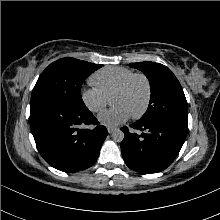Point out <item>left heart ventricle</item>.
I'll return each mask as SVG.
<instances>
[{"label":"left heart ventricle","mask_w":220,"mask_h":220,"mask_svg":"<svg viewBox=\"0 0 220 220\" xmlns=\"http://www.w3.org/2000/svg\"><path fill=\"white\" fill-rule=\"evenodd\" d=\"M145 99V83L141 79H136L125 92L114 95L111 98V103L114 106L121 105L125 107L132 115L143 107Z\"/></svg>","instance_id":"1"}]
</instances>
